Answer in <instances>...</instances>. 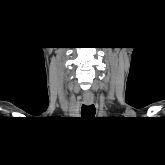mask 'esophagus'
<instances>
[{
    "mask_svg": "<svg viewBox=\"0 0 165 165\" xmlns=\"http://www.w3.org/2000/svg\"><path fill=\"white\" fill-rule=\"evenodd\" d=\"M84 103L86 105H91L93 103V99H84Z\"/></svg>",
    "mask_w": 165,
    "mask_h": 165,
    "instance_id": "esophagus-1",
    "label": "esophagus"
}]
</instances>
